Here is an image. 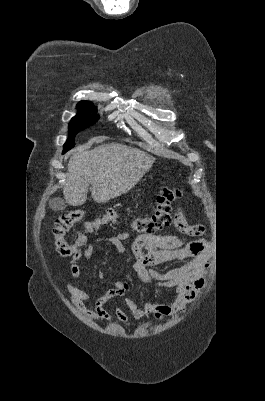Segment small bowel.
<instances>
[{
  "label": "small bowel",
  "mask_w": 265,
  "mask_h": 401,
  "mask_svg": "<svg viewBox=\"0 0 265 401\" xmlns=\"http://www.w3.org/2000/svg\"><path fill=\"white\" fill-rule=\"evenodd\" d=\"M175 228L185 236H197L196 240L188 241L186 237L175 235L141 234L132 244L131 251L135 258L134 270L138 277L147 284H154L161 288L175 289L177 298L170 306L146 302L139 306L133 299L125 298V305L135 319H142L149 315L157 318L169 316L183 311L198 296L205 282L208 268L209 245L201 236L205 232L203 225H191L187 222L183 210L178 209L173 218ZM129 238L127 232L117 235H105L85 247H79L70 259L69 271L76 280L80 279L79 261L83 258L90 261L93 258V249L96 243L104 241L112 244L119 253L126 251L125 241ZM183 261V265L170 271H158L154 267L160 264ZM103 271L99 277L103 278ZM66 288L74 303L82 314L94 321H112V316L105 310V304L114 297H122L128 292L125 282L117 281L108 291L92 296L70 281ZM94 299V309L85 307V302ZM115 317L125 328H129V316L121 306L115 307Z\"/></svg>",
  "instance_id": "1"
}]
</instances>
